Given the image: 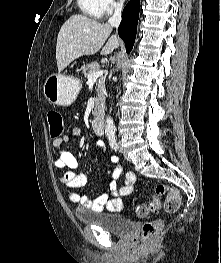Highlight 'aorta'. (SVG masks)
I'll return each instance as SVG.
<instances>
[{
    "instance_id": "762f6f07",
    "label": "aorta",
    "mask_w": 221,
    "mask_h": 263,
    "mask_svg": "<svg viewBox=\"0 0 221 263\" xmlns=\"http://www.w3.org/2000/svg\"><path fill=\"white\" fill-rule=\"evenodd\" d=\"M105 133L107 135H114L115 134V124L112 117H107L105 121Z\"/></svg>"
}]
</instances>
